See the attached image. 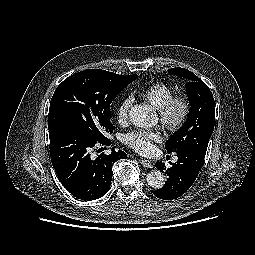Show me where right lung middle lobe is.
Listing matches in <instances>:
<instances>
[{
	"mask_svg": "<svg viewBox=\"0 0 255 255\" xmlns=\"http://www.w3.org/2000/svg\"><path fill=\"white\" fill-rule=\"evenodd\" d=\"M138 75H118L101 69L73 74L59 84L50 102L48 129L67 126L94 139L113 133L110 104Z\"/></svg>",
	"mask_w": 255,
	"mask_h": 255,
	"instance_id": "right-lung-middle-lobe-1",
	"label": "right lung middle lobe"
}]
</instances>
